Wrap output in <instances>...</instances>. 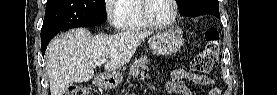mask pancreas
I'll return each mask as SVG.
<instances>
[{"label":"pancreas","mask_w":277,"mask_h":95,"mask_svg":"<svg viewBox=\"0 0 277 95\" xmlns=\"http://www.w3.org/2000/svg\"><path fill=\"white\" fill-rule=\"evenodd\" d=\"M148 58L146 55L141 56L139 59L135 60V62L130 66L129 69V81L131 79H135L141 71L147 68Z\"/></svg>","instance_id":"pancreas-1"}]
</instances>
